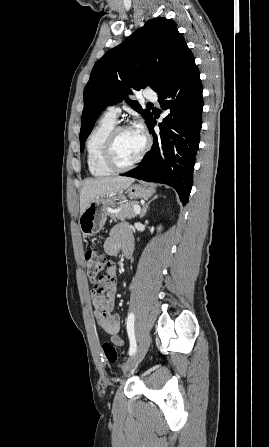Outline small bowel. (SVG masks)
<instances>
[{
  "label": "small bowel",
  "instance_id": "c3829d8e",
  "mask_svg": "<svg viewBox=\"0 0 269 447\" xmlns=\"http://www.w3.org/2000/svg\"><path fill=\"white\" fill-rule=\"evenodd\" d=\"M120 248L124 252H131L133 249L131 233L122 224L111 230L104 243V250L110 255H116ZM116 285V267L110 265L101 276L97 287L90 291L89 296L98 326L110 336L115 345L123 346L124 341L119 335L121 329L120 316L112 311Z\"/></svg>",
  "mask_w": 269,
  "mask_h": 447
}]
</instances>
